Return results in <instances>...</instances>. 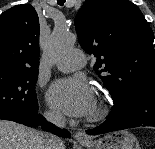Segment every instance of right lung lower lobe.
Listing matches in <instances>:
<instances>
[{"label":"right lung lower lobe","mask_w":155,"mask_h":149,"mask_svg":"<svg viewBox=\"0 0 155 149\" xmlns=\"http://www.w3.org/2000/svg\"><path fill=\"white\" fill-rule=\"evenodd\" d=\"M0 119L14 121L31 127L42 125L43 130L50 131L57 136H61L63 138L71 137V134L67 130L57 129L53 124L46 122L45 118L42 115L38 114L37 111L32 116H30L29 119L26 120H15L5 116H0Z\"/></svg>","instance_id":"right-lung-lower-lobe-1"}]
</instances>
